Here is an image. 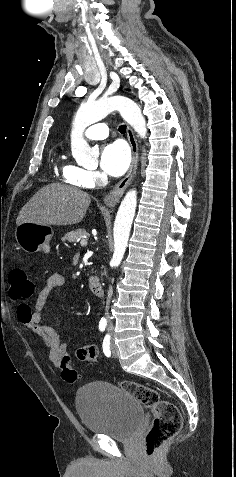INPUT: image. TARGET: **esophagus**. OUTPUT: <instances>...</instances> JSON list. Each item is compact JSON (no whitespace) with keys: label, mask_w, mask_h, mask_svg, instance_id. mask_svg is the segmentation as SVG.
Instances as JSON below:
<instances>
[{"label":"esophagus","mask_w":236,"mask_h":477,"mask_svg":"<svg viewBox=\"0 0 236 477\" xmlns=\"http://www.w3.org/2000/svg\"><path fill=\"white\" fill-rule=\"evenodd\" d=\"M127 138L132 150V162L127 175L114 187V189L104 197V202L107 206L116 205L124 194L126 188L131 183L137 170L139 153L138 144L132 129L127 126Z\"/></svg>","instance_id":"obj_1"}]
</instances>
